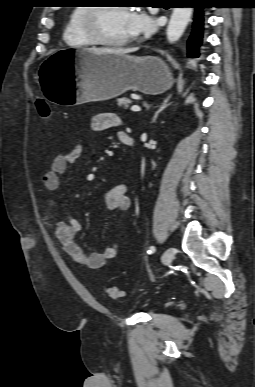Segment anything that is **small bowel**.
Segmentation results:
<instances>
[{
    "label": "small bowel",
    "mask_w": 255,
    "mask_h": 387,
    "mask_svg": "<svg viewBox=\"0 0 255 387\" xmlns=\"http://www.w3.org/2000/svg\"><path fill=\"white\" fill-rule=\"evenodd\" d=\"M121 119L113 113H100L94 116L91 122L94 131H103L118 127ZM122 132L119 133V135ZM82 145H75L71 151L58 154L54 157L51 168L43 175V184L50 192L59 195L60 176L65 174L69 164L76 162L83 154ZM106 207L110 210L126 211L131 201L127 195V188L124 184H116L110 188L104 197ZM60 207V206H59ZM54 233L60 243L62 250L77 264L90 268L100 269L106 262L114 258L119 250V242L115 241L102 252L89 253L76 242L77 234L82 230L81 223L72 216L56 220L53 224Z\"/></svg>",
    "instance_id": "c3829d8e"
}]
</instances>
